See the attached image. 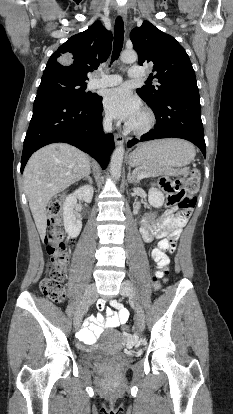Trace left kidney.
I'll use <instances>...</instances> for the list:
<instances>
[{
	"label": "left kidney",
	"instance_id": "obj_1",
	"mask_svg": "<svg viewBox=\"0 0 233 414\" xmlns=\"http://www.w3.org/2000/svg\"><path fill=\"white\" fill-rule=\"evenodd\" d=\"M148 201L151 206L159 208L164 204V195L160 190L151 188L148 192Z\"/></svg>",
	"mask_w": 233,
	"mask_h": 414
}]
</instances>
